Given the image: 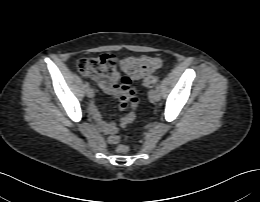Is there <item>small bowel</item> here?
Wrapping results in <instances>:
<instances>
[{
	"label": "small bowel",
	"instance_id": "small-bowel-1",
	"mask_svg": "<svg viewBox=\"0 0 260 202\" xmlns=\"http://www.w3.org/2000/svg\"><path fill=\"white\" fill-rule=\"evenodd\" d=\"M100 86L104 92L118 99L121 110H125L128 107L131 109H135L137 107L138 99L131 86V82H122L119 81V77H116L108 82L100 83ZM89 112L94 121L100 126V129L108 135V142L111 144L118 142L119 137L117 136V133L119 129L127 127L135 119V113L130 111L123 116L118 123H107L103 120L94 102L90 103Z\"/></svg>",
	"mask_w": 260,
	"mask_h": 202
}]
</instances>
